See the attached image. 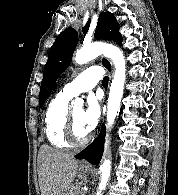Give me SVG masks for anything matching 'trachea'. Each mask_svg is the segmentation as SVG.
I'll list each match as a JSON object with an SVG mask.
<instances>
[{"label": "trachea", "instance_id": "1", "mask_svg": "<svg viewBox=\"0 0 178 195\" xmlns=\"http://www.w3.org/2000/svg\"><path fill=\"white\" fill-rule=\"evenodd\" d=\"M102 84H103V86H108V77L107 76H105L104 78H103V80H102Z\"/></svg>", "mask_w": 178, "mask_h": 195}]
</instances>
